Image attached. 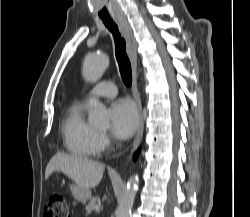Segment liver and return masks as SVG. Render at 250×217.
<instances>
[{"label":"liver","mask_w":250,"mask_h":217,"mask_svg":"<svg viewBox=\"0 0 250 217\" xmlns=\"http://www.w3.org/2000/svg\"><path fill=\"white\" fill-rule=\"evenodd\" d=\"M105 166L99 162L78 156L57 153L54 155L45 170V179L59 171L66 174L79 188L96 187L103 176Z\"/></svg>","instance_id":"6515ba94"}]
</instances>
